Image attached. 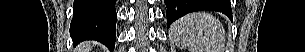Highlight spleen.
I'll return each mask as SVG.
<instances>
[{
    "mask_svg": "<svg viewBox=\"0 0 305 52\" xmlns=\"http://www.w3.org/2000/svg\"><path fill=\"white\" fill-rule=\"evenodd\" d=\"M170 33L176 44L190 52H223L226 33L222 23L207 12H193L175 21Z\"/></svg>",
    "mask_w": 305,
    "mask_h": 52,
    "instance_id": "obj_1",
    "label": "spleen"
}]
</instances>
